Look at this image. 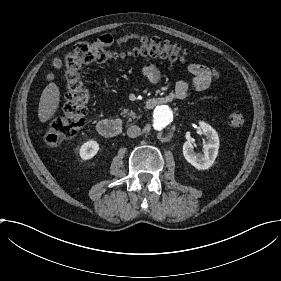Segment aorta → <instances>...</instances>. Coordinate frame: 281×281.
<instances>
[{
	"label": "aorta",
	"mask_w": 281,
	"mask_h": 281,
	"mask_svg": "<svg viewBox=\"0 0 281 281\" xmlns=\"http://www.w3.org/2000/svg\"><path fill=\"white\" fill-rule=\"evenodd\" d=\"M153 117V126L159 130L171 124L173 121V112L169 106L160 105L154 109Z\"/></svg>",
	"instance_id": "762f6f07"
}]
</instances>
